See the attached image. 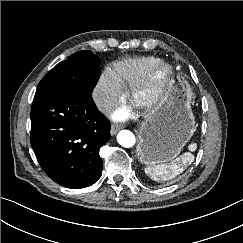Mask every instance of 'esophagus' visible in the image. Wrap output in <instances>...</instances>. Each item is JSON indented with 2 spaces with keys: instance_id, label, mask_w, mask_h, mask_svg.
I'll return each mask as SVG.
<instances>
[{
  "instance_id": "34e87169",
  "label": "esophagus",
  "mask_w": 243,
  "mask_h": 243,
  "mask_svg": "<svg viewBox=\"0 0 243 243\" xmlns=\"http://www.w3.org/2000/svg\"><path fill=\"white\" fill-rule=\"evenodd\" d=\"M122 128V126L121 125H113L112 127H111V135H115V134H117V132L120 130Z\"/></svg>"
}]
</instances>
